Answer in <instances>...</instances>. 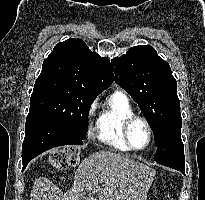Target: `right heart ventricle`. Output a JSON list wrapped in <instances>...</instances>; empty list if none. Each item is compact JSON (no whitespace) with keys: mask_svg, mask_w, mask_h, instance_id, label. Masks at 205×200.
<instances>
[{"mask_svg":"<svg viewBox=\"0 0 205 200\" xmlns=\"http://www.w3.org/2000/svg\"><path fill=\"white\" fill-rule=\"evenodd\" d=\"M134 114L127 95L122 91L113 92L105 100L97 118V139L121 151L131 150L123 138L122 127L124 121Z\"/></svg>","mask_w":205,"mask_h":200,"instance_id":"obj_1","label":"right heart ventricle"}]
</instances>
